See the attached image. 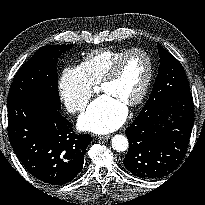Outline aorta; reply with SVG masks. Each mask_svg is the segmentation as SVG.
I'll list each match as a JSON object with an SVG mask.
<instances>
[{
  "label": "aorta",
  "mask_w": 205,
  "mask_h": 205,
  "mask_svg": "<svg viewBox=\"0 0 205 205\" xmlns=\"http://www.w3.org/2000/svg\"><path fill=\"white\" fill-rule=\"evenodd\" d=\"M112 147L117 152H124L129 147L128 139L121 134H117L112 138Z\"/></svg>",
  "instance_id": "obj_1"
}]
</instances>
